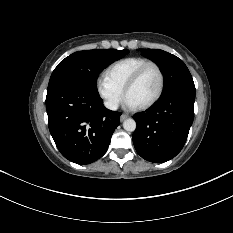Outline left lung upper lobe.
Masks as SVG:
<instances>
[{
	"label": "left lung upper lobe",
	"mask_w": 233,
	"mask_h": 233,
	"mask_svg": "<svg viewBox=\"0 0 233 233\" xmlns=\"http://www.w3.org/2000/svg\"><path fill=\"white\" fill-rule=\"evenodd\" d=\"M142 55L157 63L164 75L162 96L179 90L195 92L192 76L181 59L159 49L143 50Z\"/></svg>",
	"instance_id": "5c2ea615"
}]
</instances>
